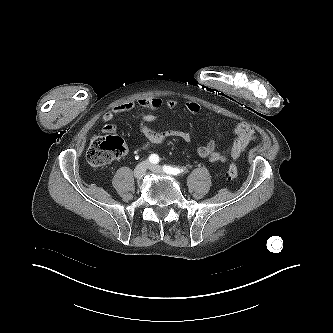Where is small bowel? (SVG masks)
Instances as JSON below:
<instances>
[{
  "instance_id": "obj_1",
  "label": "small bowel",
  "mask_w": 333,
  "mask_h": 333,
  "mask_svg": "<svg viewBox=\"0 0 333 333\" xmlns=\"http://www.w3.org/2000/svg\"><path fill=\"white\" fill-rule=\"evenodd\" d=\"M178 106V101L175 99L163 100L157 96L142 97L136 101H128L114 106L109 111L104 113L102 121L104 123L102 131L107 134H117V127L109 123L117 115L127 113L135 107L147 109L150 112L141 117L140 129L145 136L147 142L135 148V151H141L149 146V144L162 143L171 138H179L189 142L191 134L189 131L182 129H173L164 132L153 130L150 123L158 118L157 111L162 108L172 110ZM186 109L195 115L203 114L201 106L194 102L188 101L185 103ZM234 140L222 150H217V144L214 139H210L205 144L197 148V154L203 159H207L213 163H227L231 160H237L245 152L248 145L257 139L255 130L251 125L245 122L237 124L233 128Z\"/></svg>"
}]
</instances>
